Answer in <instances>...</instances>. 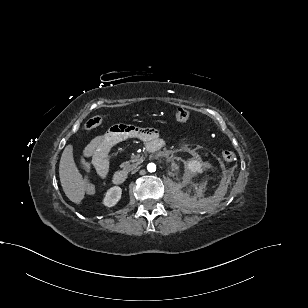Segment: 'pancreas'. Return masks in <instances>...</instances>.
Returning a JSON list of instances; mask_svg holds the SVG:
<instances>
[{"mask_svg":"<svg viewBox=\"0 0 308 308\" xmlns=\"http://www.w3.org/2000/svg\"><path fill=\"white\" fill-rule=\"evenodd\" d=\"M141 161L142 159L139 157L133 158L130 161L123 162L121 164V168L125 171H131L136 168L141 163Z\"/></svg>","mask_w":308,"mask_h":308,"instance_id":"pancreas-1","label":"pancreas"}]
</instances>
